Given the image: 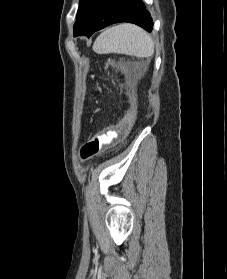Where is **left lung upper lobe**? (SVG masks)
Masks as SVG:
<instances>
[{"label":"left lung upper lobe","instance_id":"obj_1","mask_svg":"<svg viewBox=\"0 0 227 279\" xmlns=\"http://www.w3.org/2000/svg\"><path fill=\"white\" fill-rule=\"evenodd\" d=\"M92 2L93 0H80L78 13H77V20L74 24V33L77 32L82 27L87 11Z\"/></svg>","mask_w":227,"mask_h":279}]
</instances>
